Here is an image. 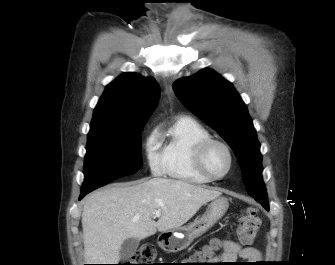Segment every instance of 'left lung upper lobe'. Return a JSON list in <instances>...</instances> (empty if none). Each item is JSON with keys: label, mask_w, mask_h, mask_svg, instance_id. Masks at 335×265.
<instances>
[{"label": "left lung upper lobe", "mask_w": 335, "mask_h": 265, "mask_svg": "<svg viewBox=\"0 0 335 265\" xmlns=\"http://www.w3.org/2000/svg\"><path fill=\"white\" fill-rule=\"evenodd\" d=\"M180 100L215 129L233 149L247 192L269 209L262 181L260 144L247 107L232 84L204 69L173 84Z\"/></svg>", "instance_id": "obj_1"}]
</instances>
